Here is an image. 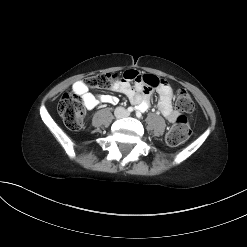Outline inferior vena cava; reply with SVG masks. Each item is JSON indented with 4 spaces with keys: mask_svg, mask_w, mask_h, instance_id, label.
<instances>
[{
    "mask_svg": "<svg viewBox=\"0 0 247 247\" xmlns=\"http://www.w3.org/2000/svg\"><path fill=\"white\" fill-rule=\"evenodd\" d=\"M115 115H116L118 118H122V117L127 116V115H128V112H127V110H125L124 108L118 107V108H116V110H115Z\"/></svg>",
    "mask_w": 247,
    "mask_h": 247,
    "instance_id": "1",
    "label": "inferior vena cava"
}]
</instances>
